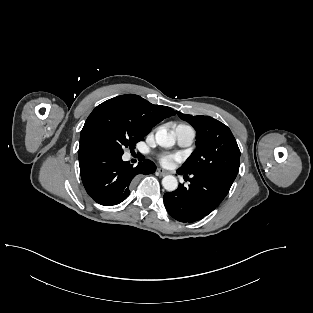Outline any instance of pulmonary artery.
Wrapping results in <instances>:
<instances>
[{"mask_svg": "<svg viewBox=\"0 0 313 313\" xmlns=\"http://www.w3.org/2000/svg\"><path fill=\"white\" fill-rule=\"evenodd\" d=\"M178 144L186 147L192 144L195 138V132L190 126L179 125L175 129Z\"/></svg>", "mask_w": 313, "mask_h": 313, "instance_id": "1", "label": "pulmonary artery"}]
</instances>
